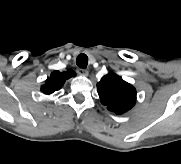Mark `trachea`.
Wrapping results in <instances>:
<instances>
[{
    "label": "trachea",
    "instance_id": "3493384b",
    "mask_svg": "<svg viewBox=\"0 0 181 164\" xmlns=\"http://www.w3.org/2000/svg\"><path fill=\"white\" fill-rule=\"evenodd\" d=\"M76 64L78 67L85 69L88 64V57L85 54H79L77 59H76Z\"/></svg>",
    "mask_w": 181,
    "mask_h": 164
}]
</instances>
